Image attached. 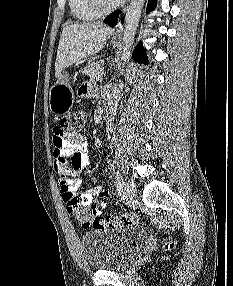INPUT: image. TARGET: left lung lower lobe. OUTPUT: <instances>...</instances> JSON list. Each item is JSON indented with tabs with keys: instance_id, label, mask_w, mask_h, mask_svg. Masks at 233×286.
I'll list each match as a JSON object with an SVG mask.
<instances>
[{
	"instance_id": "0a47b994",
	"label": "left lung lower lobe",
	"mask_w": 233,
	"mask_h": 286,
	"mask_svg": "<svg viewBox=\"0 0 233 286\" xmlns=\"http://www.w3.org/2000/svg\"><path fill=\"white\" fill-rule=\"evenodd\" d=\"M155 2L156 0H149L148 9H147L148 12L151 11L155 7L154 5ZM120 13H121L120 10H117L111 13L109 16H107L104 19V22L110 26L116 25L119 19ZM133 58L139 63H147L146 56L144 55V49L142 48L141 45L137 46L134 52Z\"/></svg>"
}]
</instances>
